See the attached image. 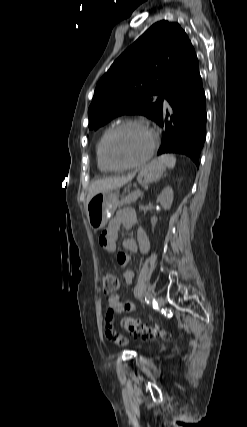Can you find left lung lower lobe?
<instances>
[{"instance_id": "obj_1", "label": "left lung lower lobe", "mask_w": 247, "mask_h": 427, "mask_svg": "<svg viewBox=\"0 0 247 427\" xmlns=\"http://www.w3.org/2000/svg\"><path fill=\"white\" fill-rule=\"evenodd\" d=\"M166 100L171 112L162 107L156 120L165 128L157 154H185L199 167V157L206 139V110L198 65L186 80L170 90Z\"/></svg>"}]
</instances>
